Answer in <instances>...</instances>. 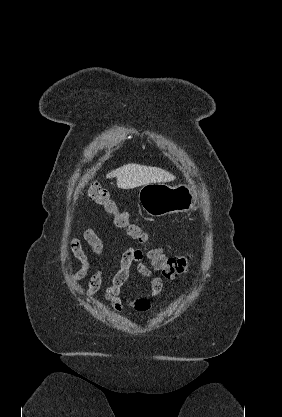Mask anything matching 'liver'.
I'll use <instances>...</instances> for the list:
<instances>
[{
	"instance_id": "1",
	"label": "liver",
	"mask_w": 282,
	"mask_h": 417,
	"mask_svg": "<svg viewBox=\"0 0 282 417\" xmlns=\"http://www.w3.org/2000/svg\"><path fill=\"white\" fill-rule=\"evenodd\" d=\"M117 178L118 188H135V186H141V184H149V182H170L174 180L176 176L163 170V168H157V166H144V164H124L120 168H115L106 174V178Z\"/></svg>"
}]
</instances>
